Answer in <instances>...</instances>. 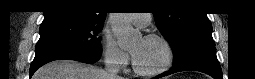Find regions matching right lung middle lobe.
<instances>
[{
    "label": "right lung middle lobe",
    "mask_w": 255,
    "mask_h": 79,
    "mask_svg": "<svg viewBox=\"0 0 255 79\" xmlns=\"http://www.w3.org/2000/svg\"><path fill=\"white\" fill-rule=\"evenodd\" d=\"M103 24L72 20L43 21L36 54L51 51H67L100 56L102 52L101 31Z\"/></svg>",
    "instance_id": "obj_1"
}]
</instances>
